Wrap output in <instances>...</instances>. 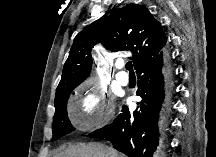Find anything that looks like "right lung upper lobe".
Instances as JSON below:
<instances>
[{"mask_svg":"<svg viewBox=\"0 0 216 157\" xmlns=\"http://www.w3.org/2000/svg\"><path fill=\"white\" fill-rule=\"evenodd\" d=\"M166 41L161 24L145 7L130 3L112 11L75 37L56 97L67 89H74L90 74L94 44L101 42L106 49L115 52L134 51L132 60L135 69H138L158 57Z\"/></svg>","mask_w":216,"mask_h":157,"instance_id":"1","label":"right lung upper lobe"}]
</instances>
